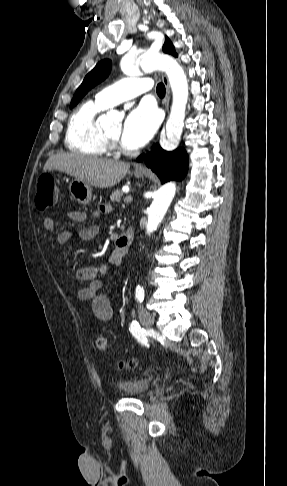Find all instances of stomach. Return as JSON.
<instances>
[{"label": "stomach", "instance_id": "0dacf381", "mask_svg": "<svg viewBox=\"0 0 287 486\" xmlns=\"http://www.w3.org/2000/svg\"><path fill=\"white\" fill-rule=\"evenodd\" d=\"M135 177L142 178L144 173L134 172ZM69 191L73 199L80 204H88L92 198V186L81 180L75 179L69 184Z\"/></svg>", "mask_w": 287, "mask_h": 486}]
</instances>
